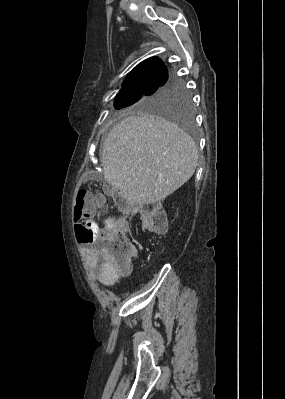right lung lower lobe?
<instances>
[{
  "label": "right lung lower lobe",
  "mask_w": 285,
  "mask_h": 399,
  "mask_svg": "<svg viewBox=\"0 0 285 399\" xmlns=\"http://www.w3.org/2000/svg\"><path fill=\"white\" fill-rule=\"evenodd\" d=\"M171 80H172V79H169V78H168V74H167V75L165 76V78H164L162 84L167 83V82H169V81H171Z\"/></svg>",
  "instance_id": "right-lung-lower-lobe-1"
}]
</instances>
